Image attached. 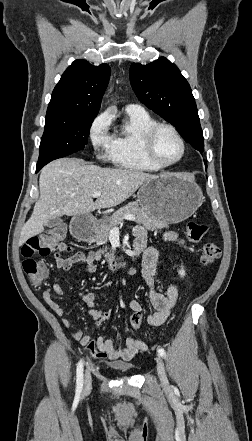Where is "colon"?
Returning a JSON list of instances; mask_svg holds the SVG:
<instances>
[{"instance_id":"5ec220e1","label":"colon","mask_w":252,"mask_h":441,"mask_svg":"<svg viewBox=\"0 0 252 441\" xmlns=\"http://www.w3.org/2000/svg\"><path fill=\"white\" fill-rule=\"evenodd\" d=\"M207 226L195 221H190L186 225V234L190 241L199 242L207 233ZM66 230L62 225L55 226L43 234L30 238L22 247L23 256L22 266L34 286H40L48 275L45 264L34 259L35 255L48 256L52 252L65 251L67 245L64 243ZM221 251L215 243H206L203 245L200 261L203 265L213 264L219 257ZM113 315L112 310L101 312L99 322L108 321ZM143 318L141 311H131L129 315V324L131 328L139 330L142 327ZM87 352L94 358H104L105 354L101 352L94 342L87 344Z\"/></svg>"}]
</instances>
